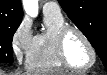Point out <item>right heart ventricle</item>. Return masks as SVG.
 <instances>
[{"label": "right heart ventricle", "mask_w": 107, "mask_h": 75, "mask_svg": "<svg viewBox=\"0 0 107 75\" xmlns=\"http://www.w3.org/2000/svg\"><path fill=\"white\" fill-rule=\"evenodd\" d=\"M45 30L34 36L26 60V67L35 72H58L64 70L56 54V36L66 25L62 14L44 13Z\"/></svg>", "instance_id": "right-heart-ventricle-1"}]
</instances>
